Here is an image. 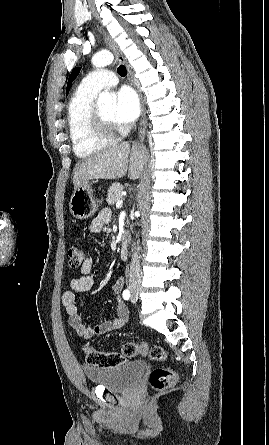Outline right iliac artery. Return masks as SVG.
I'll return each mask as SVG.
<instances>
[{"label":"right iliac artery","mask_w":269,"mask_h":445,"mask_svg":"<svg viewBox=\"0 0 269 445\" xmlns=\"http://www.w3.org/2000/svg\"><path fill=\"white\" fill-rule=\"evenodd\" d=\"M122 296L125 300H129V298H130L129 290L128 289L124 290Z\"/></svg>","instance_id":"obj_1"}]
</instances>
